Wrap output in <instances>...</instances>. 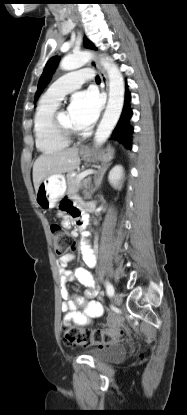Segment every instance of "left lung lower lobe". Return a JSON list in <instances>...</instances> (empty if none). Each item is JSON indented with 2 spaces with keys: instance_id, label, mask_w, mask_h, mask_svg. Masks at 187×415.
I'll return each instance as SVG.
<instances>
[{
  "instance_id": "obj_1",
  "label": "left lung lower lobe",
  "mask_w": 187,
  "mask_h": 415,
  "mask_svg": "<svg viewBox=\"0 0 187 415\" xmlns=\"http://www.w3.org/2000/svg\"><path fill=\"white\" fill-rule=\"evenodd\" d=\"M131 95L126 85L125 91V101L122 114L120 119L114 128L110 139L122 143L126 148L131 149V134L133 133V128L129 123L130 118L132 117V110L130 108Z\"/></svg>"
}]
</instances>
